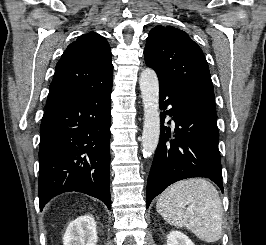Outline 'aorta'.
<instances>
[{
	"mask_svg": "<svg viewBox=\"0 0 266 245\" xmlns=\"http://www.w3.org/2000/svg\"><path fill=\"white\" fill-rule=\"evenodd\" d=\"M139 86L144 106L142 153L148 159L155 153L160 137L159 80L153 68L142 70Z\"/></svg>",
	"mask_w": 266,
	"mask_h": 245,
	"instance_id": "obj_1",
	"label": "aorta"
}]
</instances>
